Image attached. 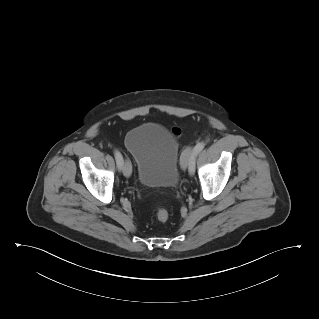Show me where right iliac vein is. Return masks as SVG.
<instances>
[{"label":"right iliac vein","instance_id":"1","mask_svg":"<svg viewBox=\"0 0 319 319\" xmlns=\"http://www.w3.org/2000/svg\"><path fill=\"white\" fill-rule=\"evenodd\" d=\"M122 170H123V174L125 177H130L131 173H132V167L131 164L128 160H125L123 162V166H122Z\"/></svg>","mask_w":319,"mask_h":319}]
</instances>
